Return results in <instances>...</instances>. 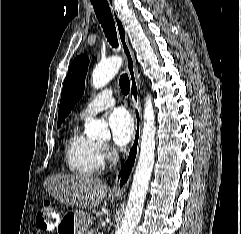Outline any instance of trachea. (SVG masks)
Here are the masks:
<instances>
[{
  "label": "trachea",
  "instance_id": "trachea-1",
  "mask_svg": "<svg viewBox=\"0 0 241 234\" xmlns=\"http://www.w3.org/2000/svg\"><path fill=\"white\" fill-rule=\"evenodd\" d=\"M95 14L101 24L105 36L112 47H118L115 22L107 0H91ZM119 86L124 95L129 93L130 81L127 74H122L119 79Z\"/></svg>",
  "mask_w": 241,
  "mask_h": 234
}]
</instances>
